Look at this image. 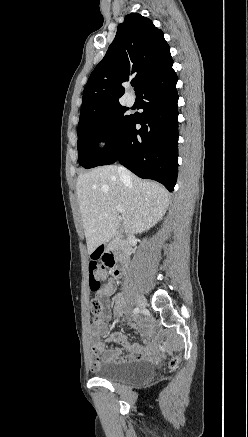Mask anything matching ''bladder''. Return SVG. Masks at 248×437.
Returning a JSON list of instances; mask_svg holds the SVG:
<instances>
[{"label":"bladder","instance_id":"obj_1","mask_svg":"<svg viewBox=\"0 0 248 437\" xmlns=\"http://www.w3.org/2000/svg\"><path fill=\"white\" fill-rule=\"evenodd\" d=\"M154 365L149 361L111 362L103 364L97 376L112 383H135L149 379Z\"/></svg>","mask_w":248,"mask_h":437}]
</instances>
